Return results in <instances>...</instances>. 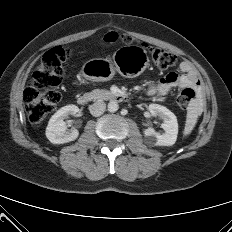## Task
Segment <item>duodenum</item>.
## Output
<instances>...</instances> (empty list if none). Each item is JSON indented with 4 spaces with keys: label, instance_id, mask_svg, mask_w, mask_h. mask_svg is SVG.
<instances>
[{
    "label": "duodenum",
    "instance_id": "410a0bca",
    "mask_svg": "<svg viewBox=\"0 0 232 232\" xmlns=\"http://www.w3.org/2000/svg\"><path fill=\"white\" fill-rule=\"evenodd\" d=\"M111 99L115 102H124L129 99V97L123 93H113L111 94ZM89 101V95L87 94H81L77 98V103L81 106H84Z\"/></svg>",
    "mask_w": 232,
    "mask_h": 232
}]
</instances>
